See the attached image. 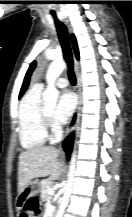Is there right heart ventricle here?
I'll return each instance as SVG.
<instances>
[{
  "label": "right heart ventricle",
  "instance_id": "e07e8e85",
  "mask_svg": "<svg viewBox=\"0 0 132 217\" xmlns=\"http://www.w3.org/2000/svg\"><path fill=\"white\" fill-rule=\"evenodd\" d=\"M41 87L33 86L22 98L19 106V141L24 149L42 147L47 139L45 122L42 116L43 102Z\"/></svg>",
  "mask_w": 132,
  "mask_h": 217
}]
</instances>
